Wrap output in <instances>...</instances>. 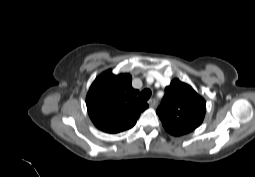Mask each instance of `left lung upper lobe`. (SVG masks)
<instances>
[{
  "label": "left lung upper lobe",
  "instance_id": "left-lung-upper-lobe-1",
  "mask_svg": "<svg viewBox=\"0 0 255 177\" xmlns=\"http://www.w3.org/2000/svg\"><path fill=\"white\" fill-rule=\"evenodd\" d=\"M206 112V102L194 89L178 79L165 88L162 104L156 110L164 129L174 136L199 127Z\"/></svg>",
  "mask_w": 255,
  "mask_h": 177
}]
</instances>
